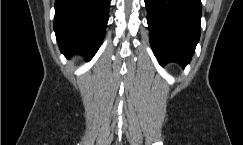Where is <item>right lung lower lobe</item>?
I'll return each instance as SVG.
<instances>
[{"label":"right lung lower lobe","instance_id":"98d812e1","mask_svg":"<svg viewBox=\"0 0 243 145\" xmlns=\"http://www.w3.org/2000/svg\"><path fill=\"white\" fill-rule=\"evenodd\" d=\"M111 0H56L54 31L62 53L91 59L102 44Z\"/></svg>","mask_w":243,"mask_h":145}]
</instances>
